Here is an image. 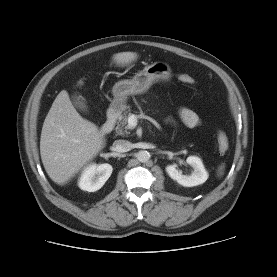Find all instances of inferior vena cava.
Masks as SVG:
<instances>
[{
	"label": "inferior vena cava",
	"mask_w": 277,
	"mask_h": 277,
	"mask_svg": "<svg viewBox=\"0 0 277 277\" xmlns=\"http://www.w3.org/2000/svg\"><path fill=\"white\" fill-rule=\"evenodd\" d=\"M113 148L116 152H128L132 149V143L124 139L115 140L113 143Z\"/></svg>",
	"instance_id": "inferior-vena-cava-1"
}]
</instances>
